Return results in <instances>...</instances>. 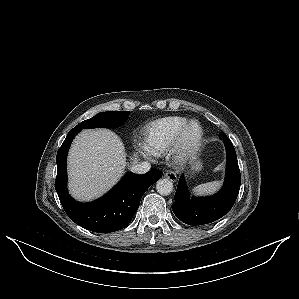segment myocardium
Segmentation results:
<instances>
[{
  "label": "myocardium",
  "mask_w": 299,
  "mask_h": 299,
  "mask_svg": "<svg viewBox=\"0 0 299 299\" xmlns=\"http://www.w3.org/2000/svg\"><path fill=\"white\" fill-rule=\"evenodd\" d=\"M193 127L197 128V133L190 137V131ZM203 136V127L197 120L187 122L179 132L171 148V156L174 161L182 165L192 159L201 147Z\"/></svg>",
  "instance_id": "myocardium-1"
}]
</instances>
